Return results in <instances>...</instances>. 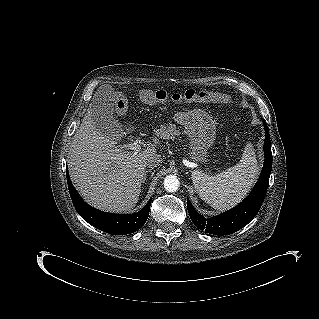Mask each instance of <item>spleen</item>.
Returning a JSON list of instances; mask_svg holds the SVG:
<instances>
[{
    "label": "spleen",
    "instance_id": "obj_1",
    "mask_svg": "<svg viewBox=\"0 0 319 319\" xmlns=\"http://www.w3.org/2000/svg\"><path fill=\"white\" fill-rule=\"evenodd\" d=\"M258 173L255 151L248 143L235 166L214 176L194 170L192 181L202 200L215 209L226 210L246 196Z\"/></svg>",
    "mask_w": 319,
    "mask_h": 319
}]
</instances>
